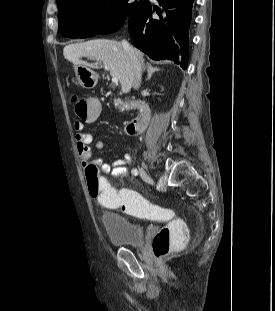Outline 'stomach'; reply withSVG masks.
<instances>
[{"mask_svg": "<svg viewBox=\"0 0 275 311\" xmlns=\"http://www.w3.org/2000/svg\"><path fill=\"white\" fill-rule=\"evenodd\" d=\"M75 78L72 79V83L81 85L83 87H94L97 84V75L90 68L78 65L74 67Z\"/></svg>", "mask_w": 275, "mask_h": 311, "instance_id": "0dacf381", "label": "stomach"}]
</instances>
